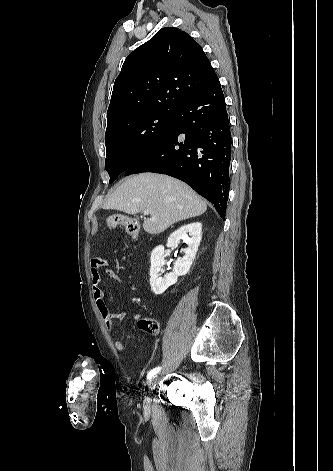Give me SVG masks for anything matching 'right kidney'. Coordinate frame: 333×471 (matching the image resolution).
<instances>
[{
    "mask_svg": "<svg viewBox=\"0 0 333 471\" xmlns=\"http://www.w3.org/2000/svg\"><path fill=\"white\" fill-rule=\"evenodd\" d=\"M202 237V224L200 222H193L182 226L173 232L168 240L167 247L173 248L177 246L181 239L187 244L185 248V255L179 258L174 265L173 271L161 276L164 265V247L157 246L151 253V267H150V286L155 295L163 294L166 289L175 284L179 276L186 275L195 259L198 246Z\"/></svg>",
    "mask_w": 333,
    "mask_h": 471,
    "instance_id": "right-kidney-1",
    "label": "right kidney"
}]
</instances>
